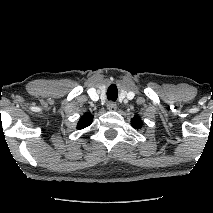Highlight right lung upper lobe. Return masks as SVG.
<instances>
[{
	"label": "right lung upper lobe",
	"mask_w": 213,
	"mask_h": 213,
	"mask_svg": "<svg viewBox=\"0 0 213 213\" xmlns=\"http://www.w3.org/2000/svg\"><path fill=\"white\" fill-rule=\"evenodd\" d=\"M93 116L91 113H85L79 120L77 128L83 129L91 124Z\"/></svg>",
	"instance_id": "cb5924a9"
}]
</instances>
